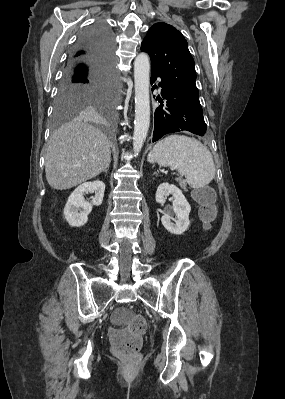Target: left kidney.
Wrapping results in <instances>:
<instances>
[{
  "label": "left kidney",
  "instance_id": "5707ae66",
  "mask_svg": "<svg viewBox=\"0 0 285 399\" xmlns=\"http://www.w3.org/2000/svg\"><path fill=\"white\" fill-rule=\"evenodd\" d=\"M171 194L173 196V210L176 213L177 221L171 222L170 216L165 214L161 218L162 225L172 234L181 235L189 227V213L191 207L183 195L182 191L175 185L169 183H162L156 191V202L159 204L165 203V197Z\"/></svg>",
  "mask_w": 285,
  "mask_h": 399
}]
</instances>
